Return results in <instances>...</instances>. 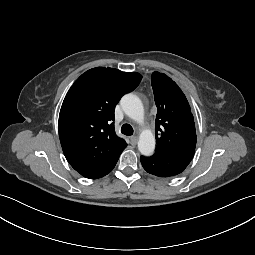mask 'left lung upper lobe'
Here are the masks:
<instances>
[{
  "label": "left lung upper lobe",
  "mask_w": 255,
  "mask_h": 255,
  "mask_svg": "<svg viewBox=\"0 0 255 255\" xmlns=\"http://www.w3.org/2000/svg\"><path fill=\"white\" fill-rule=\"evenodd\" d=\"M151 82L157 106L155 154L195 151L194 117L184 93L163 73L153 72Z\"/></svg>",
  "instance_id": "obj_1"
}]
</instances>
